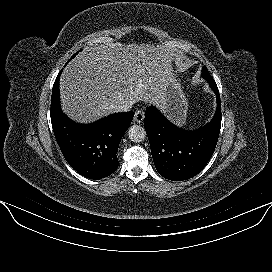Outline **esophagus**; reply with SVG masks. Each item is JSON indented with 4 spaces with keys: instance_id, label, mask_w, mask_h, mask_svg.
I'll return each instance as SVG.
<instances>
[{
    "instance_id": "34e87169",
    "label": "esophagus",
    "mask_w": 272,
    "mask_h": 272,
    "mask_svg": "<svg viewBox=\"0 0 272 272\" xmlns=\"http://www.w3.org/2000/svg\"><path fill=\"white\" fill-rule=\"evenodd\" d=\"M144 120V111L143 110H137L134 115V122L135 123H142Z\"/></svg>"
}]
</instances>
